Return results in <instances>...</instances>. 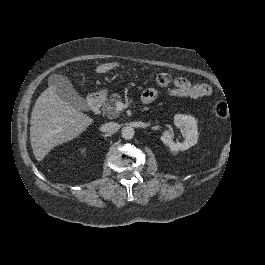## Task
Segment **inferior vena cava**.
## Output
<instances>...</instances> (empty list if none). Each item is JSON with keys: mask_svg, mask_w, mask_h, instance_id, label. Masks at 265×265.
I'll return each mask as SVG.
<instances>
[{"mask_svg": "<svg viewBox=\"0 0 265 265\" xmlns=\"http://www.w3.org/2000/svg\"><path fill=\"white\" fill-rule=\"evenodd\" d=\"M103 128L106 132L109 133H114L119 129V124L117 123H113V122H109V123H105L103 125Z\"/></svg>", "mask_w": 265, "mask_h": 265, "instance_id": "602c4592", "label": "inferior vena cava"}]
</instances>
